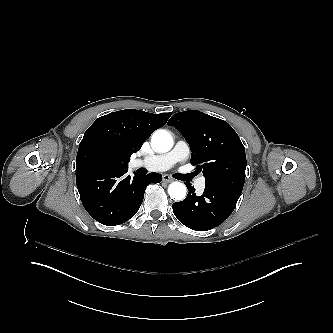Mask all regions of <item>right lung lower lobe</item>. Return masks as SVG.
I'll return each mask as SVG.
<instances>
[{"mask_svg":"<svg viewBox=\"0 0 333 333\" xmlns=\"http://www.w3.org/2000/svg\"><path fill=\"white\" fill-rule=\"evenodd\" d=\"M128 168L86 167L76 169V184L82 204L92 218L107 226L119 225L138 211L145 188L162 176L150 173L126 176Z\"/></svg>","mask_w":333,"mask_h":333,"instance_id":"1","label":"right lung lower lobe"}]
</instances>
